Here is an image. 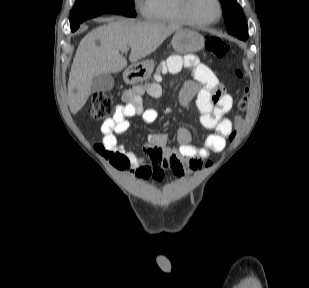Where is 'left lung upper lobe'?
<instances>
[{
    "label": "left lung upper lobe",
    "mask_w": 309,
    "mask_h": 288,
    "mask_svg": "<svg viewBox=\"0 0 309 288\" xmlns=\"http://www.w3.org/2000/svg\"><path fill=\"white\" fill-rule=\"evenodd\" d=\"M225 17L227 30L230 34H248V27L242 9L237 0H219Z\"/></svg>",
    "instance_id": "left-lung-upper-lobe-1"
}]
</instances>
